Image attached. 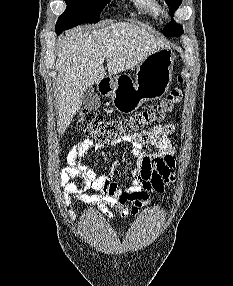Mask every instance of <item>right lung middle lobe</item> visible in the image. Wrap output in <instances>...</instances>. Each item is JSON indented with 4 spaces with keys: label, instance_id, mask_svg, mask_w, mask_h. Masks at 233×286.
Segmentation results:
<instances>
[{
    "label": "right lung middle lobe",
    "instance_id": "obj_1",
    "mask_svg": "<svg viewBox=\"0 0 233 286\" xmlns=\"http://www.w3.org/2000/svg\"><path fill=\"white\" fill-rule=\"evenodd\" d=\"M110 0H65L66 11L58 18L55 28H71L83 23H97L100 12Z\"/></svg>",
    "mask_w": 233,
    "mask_h": 286
}]
</instances>
